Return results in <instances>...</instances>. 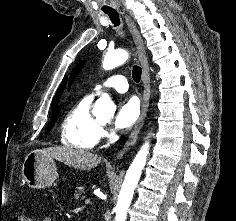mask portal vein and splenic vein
<instances>
[{"label":"portal vein and splenic vein","mask_w":236,"mask_h":221,"mask_svg":"<svg viewBox=\"0 0 236 221\" xmlns=\"http://www.w3.org/2000/svg\"><path fill=\"white\" fill-rule=\"evenodd\" d=\"M90 202H91L90 198L85 200V204H90Z\"/></svg>","instance_id":"portal-vein-and-splenic-vein-1"}]
</instances>
